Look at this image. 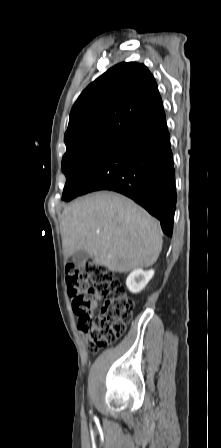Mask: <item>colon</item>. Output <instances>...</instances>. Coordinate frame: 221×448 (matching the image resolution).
<instances>
[{"label": "colon", "instance_id": "5ec220e1", "mask_svg": "<svg viewBox=\"0 0 221 448\" xmlns=\"http://www.w3.org/2000/svg\"><path fill=\"white\" fill-rule=\"evenodd\" d=\"M66 280L72 311L79 317L78 328L90 350L98 352L114 343L132 318L133 302L121 282L112 271L96 262L69 266ZM98 299L104 303L94 317L92 307Z\"/></svg>", "mask_w": 221, "mask_h": 448}]
</instances>
